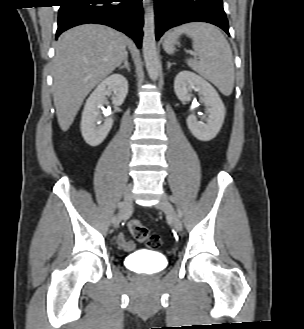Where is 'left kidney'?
<instances>
[{"instance_id": "1", "label": "left kidney", "mask_w": 304, "mask_h": 329, "mask_svg": "<svg viewBox=\"0 0 304 329\" xmlns=\"http://www.w3.org/2000/svg\"><path fill=\"white\" fill-rule=\"evenodd\" d=\"M195 89L202 95L208 106L206 123L197 121L194 114L187 118V126L194 137L201 141H210L219 133L225 117V107L215 88L205 79L191 71H181L176 75L174 91L180 101H190L191 91Z\"/></svg>"}]
</instances>
